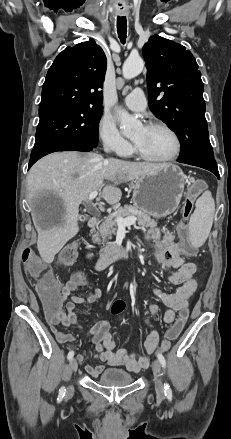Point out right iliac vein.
Instances as JSON below:
<instances>
[{"label": "right iliac vein", "instance_id": "right-iliac-vein-1", "mask_svg": "<svg viewBox=\"0 0 231 439\" xmlns=\"http://www.w3.org/2000/svg\"><path fill=\"white\" fill-rule=\"evenodd\" d=\"M77 367H78V364H77L76 359H75V358H72V359L70 360V363H69V370H70V372H71V373H75L76 370H77ZM73 390H74L73 385L70 384V385L68 386V388H67V394H68V395L72 394V393H73Z\"/></svg>", "mask_w": 231, "mask_h": 439}]
</instances>
